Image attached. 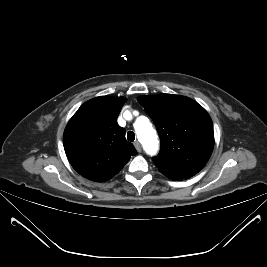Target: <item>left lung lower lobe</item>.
<instances>
[{"label": "left lung lower lobe", "instance_id": "1", "mask_svg": "<svg viewBox=\"0 0 267 267\" xmlns=\"http://www.w3.org/2000/svg\"><path fill=\"white\" fill-rule=\"evenodd\" d=\"M161 173H163L166 177H168L171 180L179 181V180H182L183 179V178H180L178 176H175V175L170 174V173H167V172H161Z\"/></svg>", "mask_w": 267, "mask_h": 267}]
</instances>
